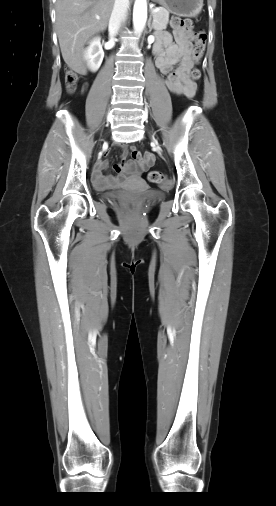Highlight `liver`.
I'll use <instances>...</instances> for the list:
<instances>
[{
  "mask_svg": "<svg viewBox=\"0 0 276 506\" xmlns=\"http://www.w3.org/2000/svg\"><path fill=\"white\" fill-rule=\"evenodd\" d=\"M115 0H57L56 29L62 57L70 69L86 73L87 39L107 28ZM99 18V19H98Z\"/></svg>",
  "mask_w": 276,
  "mask_h": 506,
  "instance_id": "1",
  "label": "liver"
}]
</instances>
